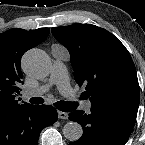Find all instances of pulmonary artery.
Segmentation results:
<instances>
[{
	"label": "pulmonary artery",
	"mask_w": 145,
	"mask_h": 145,
	"mask_svg": "<svg viewBox=\"0 0 145 145\" xmlns=\"http://www.w3.org/2000/svg\"><path fill=\"white\" fill-rule=\"evenodd\" d=\"M52 85H56L60 94L65 97L72 98L75 96L74 90L69 83L66 67L64 63L59 59L54 60L48 83L41 85L35 89H29L25 91L23 95L26 98L40 95L46 92ZM91 107L92 102L90 100L85 101L82 104V108L85 112H89L91 110Z\"/></svg>",
	"instance_id": "obj_1"
}]
</instances>
